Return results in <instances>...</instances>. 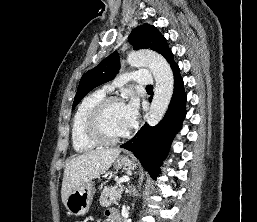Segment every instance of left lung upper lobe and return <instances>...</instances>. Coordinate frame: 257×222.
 <instances>
[{"label": "left lung upper lobe", "instance_id": "left-lung-upper-lobe-1", "mask_svg": "<svg viewBox=\"0 0 257 222\" xmlns=\"http://www.w3.org/2000/svg\"><path fill=\"white\" fill-rule=\"evenodd\" d=\"M129 42L134 46L135 50L151 49L164 56L169 63L173 62V54L166 43V39L154 26L143 24L133 29L129 36ZM119 69V55L114 52L98 66L86 72L80 80L73 107L92 89L112 80Z\"/></svg>", "mask_w": 257, "mask_h": 222}]
</instances>
